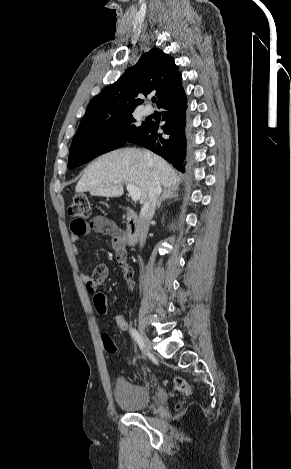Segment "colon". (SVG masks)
Returning a JSON list of instances; mask_svg holds the SVG:
<instances>
[{"mask_svg": "<svg viewBox=\"0 0 291 469\" xmlns=\"http://www.w3.org/2000/svg\"><path fill=\"white\" fill-rule=\"evenodd\" d=\"M69 214L80 221L88 218L91 214V207L88 198L85 195H77L74 197L72 204L69 207ZM117 260L122 268L123 276L127 281H130L133 276V270L125 260L124 254L119 253ZM110 302L109 293H104L102 290L95 292V298L92 301V306L96 313H105L107 311V305ZM102 342L105 351L108 354H115L117 347L112 338L106 334H102ZM175 389L185 395L191 392L190 386L187 381L182 377L175 378L174 381Z\"/></svg>", "mask_w": 291, "mask_h": 469, "instance_id": "1", "label": "colon"}]
</instances>
